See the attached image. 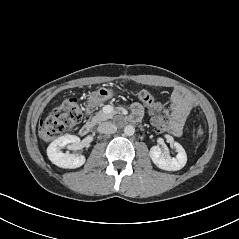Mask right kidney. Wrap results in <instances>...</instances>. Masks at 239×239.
<instances>
[{
    "label": "right kidney",
    "instance_id": "ca27d5eb",
    "mask_svg": "<svg viewBox=\"0 0 239 239\" xmlns=\"http://www.w3.org/2000/svg\"><path fill=\"white\" fill-rule=\"evenodd\" d=\"M80 138L75 135H64L55 139L47 148L49 160L58 167L74 169L82 166L86 159L83 155L75 156L69 153H63L61 149L68 144L71 148L78 146Z\"/></svg>",
    "mask_w": 239,
    "mask_h": 239
}]
</instances>
